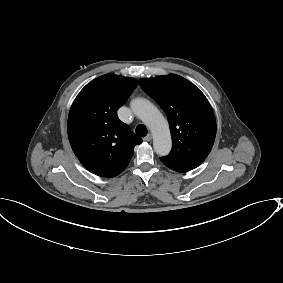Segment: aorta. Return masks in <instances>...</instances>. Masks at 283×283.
<instances>
[{
    "label": "aorta",
    "instance_id": "aorta-1",
    "mask_svg": "<svg viewBox=\"0 0 283 283\" xmlns=\"http://www.w3.org/2000/svg\"><path fill=\"white\" fill-rule=\"evenodd\" d=\"M131 109L150 129L153 135L155 152L160 156L169 154L172 148V140L167 120L160 111L148 100L134 99Z\"/></svg>",
    "mask_w": 283,
    "mask_h": 283
}]
</instances>
